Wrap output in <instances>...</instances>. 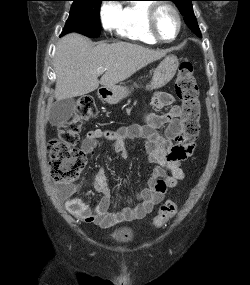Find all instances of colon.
Returning a JSON list of instances; mask_svg holds the SVG:
<instances>
[{"mask_svg": "<svg viewBox=\"0 0 250 285\" xmlns=\"http://www.w3.org/2000/svg\"><path fill=\"white\" fill-rule=\"evenodd\" d=\"M176 94L181 101L179 119L184 139L191 143L200 130L199 89L193 74L191 62L180 64L176 79ZM97 115V108L91 97L81 98L76 105L74 117L59 127V137L49 143L51 173L59 183L74 182L83 170L86 158L83 151L76 147L83 121ZM178 211L177 202H163L153 223L157 228L163 227Z\"/></svg>", "mask_w": 250, "mask_h": 285, "instance_id": "colon-1", "label": "colon"}]
</instances>
